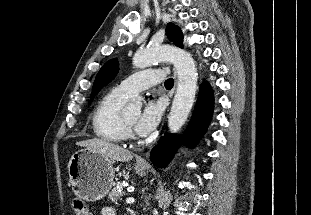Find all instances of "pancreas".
Returning <instances> with one entry per match:
<instances>
[{
  "label": "pancreas",
  "mask_w": 311,
  "mask_h": 215,
  "mask_svg": "<svg viewBox=\"0 0 311 215\" xmlns=\"http://www.w3.org/2000/svg\"><path fill=\"white\" fill-rule=\"evenodd\" d=\"M122 188L123 185L121 183H118L116 187L113 188L112 191L109 193L108 198L114 203H117L119 200H122V196L124 195V193L121 192Z\"/></svg>",
  "instance_id": "pancreas-1"
}]
</instances>
